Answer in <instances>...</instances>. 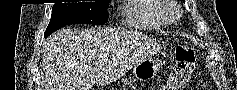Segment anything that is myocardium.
<instances>
[{
  "label": "myocardium",
  "mask_w": 237,
  "mask_h": 90,
  "mask_svg": "<svg viewBox=\"0 0 237 90\" xmlns=\"http://www.w3.org/2000/svg\"><path fill=\"white\" fill-rule=\"evenodd\" d=\"M178 20H179V18H177V17H171V20L170 21H167L169 24H174V23H176V22H178Z\"/></svg>",
  "instance_id": "myocardium-1"
}]
</instances>
